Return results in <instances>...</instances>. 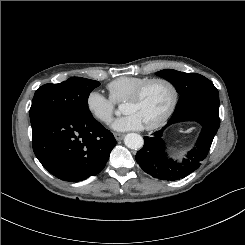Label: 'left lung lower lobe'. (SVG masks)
<instances>
[{
  "label": "left lung lower lobe",
  "mask_w": 245,
  "mask_h": 245,
  "mask_svg": "<svg viewBox=\"0 0 245 245\" xmlns=\"http://www.w3.org/2000/svg\"><path fill=\"white\" fill-rule=\"evenodd\" d=\"M183 121H196L202 125V131L195 147L180 161L167 157L162 138L163 131L171 124ZM220 126L219 106L202 104L187 108L171 117L168 123L151 137H144V146L135 159L140 167L151 176L168 181L186 177L199 168L207 156L213 138Z\"/></svg>",
  "instance_id": "1"
}]
</instances>
